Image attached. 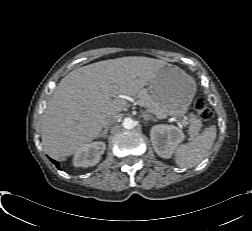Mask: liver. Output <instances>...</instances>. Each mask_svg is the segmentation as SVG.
<instances>
[{
	"label": "liver",
	"mask_w": 252,
	"mask_h": 231,
	"mask_svg": "<svg viewBox=\"0 0 252 231\" xmlns=\"http://www.w3.org/2000/svg\"><path fill=\"white\" fill-rule=\"evenodd\" d=\"M165 65L163 60L129 56L71 71L58 84L43 114L46 153L63 160L99 137L106 118L128 105L115 95H137Z\"/></svg>",
	"instance_id": "liver-1"
}]
</instances>
